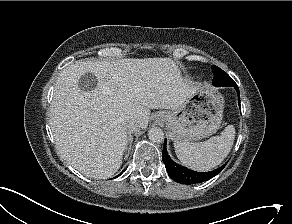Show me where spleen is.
<instances>
[{
	"label": "spleen",
	"instance_id": "1",
	"mask_svg": "<svg viewBox=\"0 0 292 224\" xmlns=\"http://www.w3.org/2000/svg\"><path fill=\"white\" fill-rule=\"evenodd\" d=\"M235 128L228 125L220 136L204 142L174 141L175 153L182 164L195 171L206 172L217 167L229 154L235 139Z\"/></svg>",
	"mask_w": 292,
	"mask_h": 224
}]
</instances>
